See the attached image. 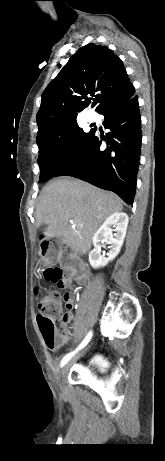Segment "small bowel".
Instances as JSON below:
<instances>
[{
  "instance_id": "obj_1",
  "label": "small bowel",
  "mask_w": 165,
  "mask_h": 461,
  "mask_svg": "<svg viewBox=\"0 0 165 461\" xmlns=\"http://www.w3.org/2000/svg\"><path fill=\"white\" fill-rule=\"evenodd\" d=\"M80 256H62V260L58 261V266L61 268L62 279L65 280L66 286H68V280L77 278L81 283L86 279V276L82 274V271L89 270V263H80ZM61 298L63 302V308L68 309L66 313L61 314V333L59 334V341L53 348L58 350L59 348L68 344L71 338V331L68 327L69 323L73 320V314L71 309L74 308L76 301L73 291H61Z\"/></svg>"
}]
</instances>
